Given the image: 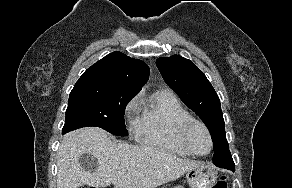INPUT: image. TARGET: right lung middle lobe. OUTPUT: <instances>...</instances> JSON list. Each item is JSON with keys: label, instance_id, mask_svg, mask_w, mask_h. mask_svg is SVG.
Instances as JSON below:
<instances>
[{"label": "right lung middle lobe", "instance_id": "right-lung-middle-lobe-1", "mask_svg": "<svg viewBox=\"0 0 292 188\" xmlns=\"http://www.w3.org/2000/svg\"><path fill=\"white\" fill-rule=\"evenodd\" d=\"M135 95L101 84H75L69 96L62 134L96 126L117 136H127L124 111Z\"/></svg>", "mask_w": 292, "mask_h": 188}]
</instances>
